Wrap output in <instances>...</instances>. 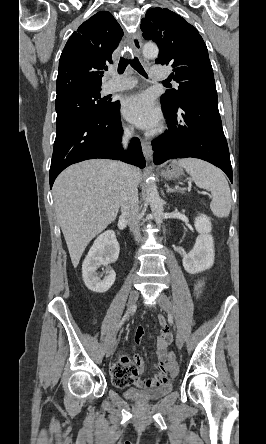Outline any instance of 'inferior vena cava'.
<instances>
[{
  "instance_id": "1",
  "label": "inferior vena cava",
  "mask_w": 266,
  "mask_h": 444,
  "mask_svg": "<svg viewBox=\"0 0 266 444\" xmlns=\"http://www.w3.org/2000/svg\"><path fill=\"white\" fill-rule=\"evenodd\" d=\"M133 134L132 129H126L122 140L123 146L126 148L128 144V139ZM120 173L122 177L121 186V218L125 219L129 223L130 230L132 231L135 240L140 239V219L141 215L139 213V200H138V189L137 181L132 175L131 168L129 165L120 163Z\"/></svg>"
}]
</instances>
